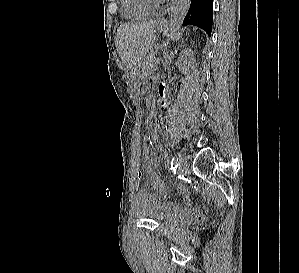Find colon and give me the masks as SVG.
<instances>
[{"mask_svg": "<svg viewBox=\"0 0 299 273\" xmlns=\"http://www.w3.org/2000/svg\"><path fill=\"white\" fill-rule=\"evenodd\" d=\"M150 146V137L148 135L143 136L142 138V147L146 148ZM168 204H170V202H166ZM194 215L195 218L198 220H202L203 219V214L199 211V209L195 208L194 210Z\"/></svg>", "mask_w": 299, "mask_h": 273, "instance_id": "colon-1", "label": "colon"}]
</instances>
